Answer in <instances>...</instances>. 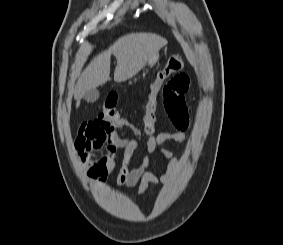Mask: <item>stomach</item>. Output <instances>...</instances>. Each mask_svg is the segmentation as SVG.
I'll return each instance as SVG.
<instances>
[{"mask_svg":"<svg viewBox=\"0 0 283 245\" xmlns=\"http://www.w3.org/2000/svg\"><path fill=\"white\" fill-rule=\"evenodd\" d=\"M159 57V53H156L151 59H149L147 65L152 68L159 61Z\"/></svg>","mask_w":283,"mask_h":245,"instance_id":"1","label":"stomach"}]
</instances>
